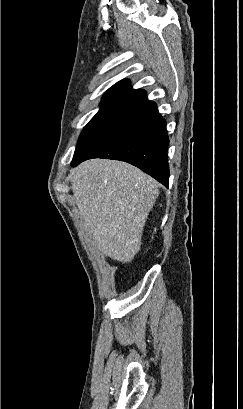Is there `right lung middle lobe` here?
Wrapping results in <instances>:
<instances>
[{"instance_id":"dd1d6c3e","label":"right lung middle lobe","mask_w":243,"mask_h":409,"mask_svg":"<svg viewBox=\"0 0 243 409\" xmlns=\"http://www.w3.org/2000/svg\"><path fill=\"white\" fill-rule=\"evenodd\" d=\"M121 103L120 101H102L100 110L82 130L77 146L98 129L118 109Z\"/></svg>"}]
</instances>
